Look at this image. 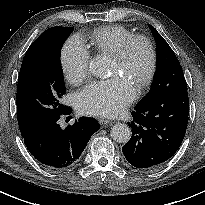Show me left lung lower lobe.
<instances>
[{
	"label": "left lung lower lobe",
	"instance_id": "1",
	"mask_svg": "<svg viewBox=\"0 0 205 205\" xmlns=\"http://www.w3.org/2000/svg\"><path fill=\"white\" fill-rule=\"evenodd\" d=\"M189 115L187 85L170 95L137 105L132 112L130 140L122 147L134 167H155L171 158L181 145Z\"/></svg>",
	"mask_w": 205,
	"mask_h": 205
}]
</instances>
